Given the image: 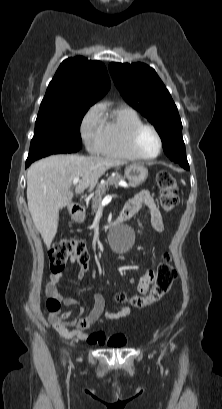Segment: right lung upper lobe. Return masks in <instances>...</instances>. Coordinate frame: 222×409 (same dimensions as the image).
Here are the masks:
<instances>
[{"label": "right lung upper lobe", "mask_w": 222, "mask_h": 409, "mask_svg": "<svg viewBox=\"0 0 222 409\" xmlns=\"http://www.w3.org/2000/svg\"><path fill=\"white\" fill-rule=\"evenodd\" d=\"M107 69L82 56L64 60L49 83L40 109L65 105H93L110 89Z\"/></svg>", "instance_id": "cb5924a9"}]
</instances>
